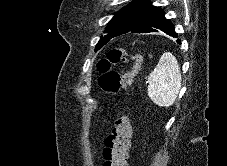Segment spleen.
<instances>
[{
    "label": "spleen",
    "instance_id": "spleen-1",
    "mask_svg": "<svg viewBox=\"0 0 227 166\" xmlns=\"http://www.w3.org/2000/svg\"><path fill=\"white\" fill-rule=\"evenodd\" d=\"M181 81L177 59L172 53L165 52L148 76V96L154 104L160 107H170L177 98Z\"/></svg>",
    "mask_w": 227,
    "mask_h": 166
}]
</instances>
